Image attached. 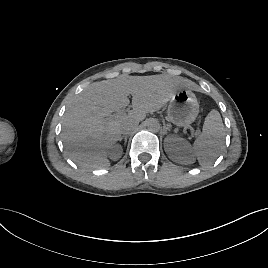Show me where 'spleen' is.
Wrapping results in <instances>:
<instances>
[{"instance_id":"3e777b00","label":"spleen","mask_w":268,"mask_h":268,"mask_svg":"<svg viewBox=\"0 0 268 268\" xmlns=\"http://www.w3.org/2000/svg\"><path fill=\"white\" fill-rule=\"evenodd\" d=\"M225 129L220 113L213 109L205 118L202 133L195 140L193 150L202 167H207L218 157L224 144Z\"/></svg>"}]
</instances>
